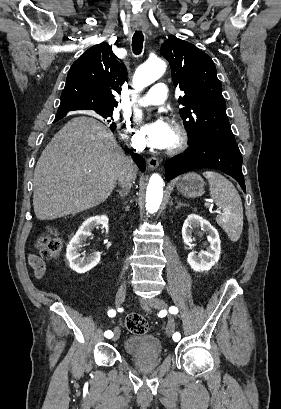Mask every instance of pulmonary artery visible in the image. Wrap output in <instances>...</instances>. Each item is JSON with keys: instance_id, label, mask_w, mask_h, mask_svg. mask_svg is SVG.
Returning a JSON list of instances; mask_svg holds the SVG:
<instances>
[{"instance_id": "obj_1", "label": "pulmonary artery", "mask_w": 281, "mask_h": 409, "mask_svg": "<svg viewBox=\"0 0 281 409\" xmlns=\"http://www.w3.org/2000/svg\"><path fill=\"white\" fill-rule=\"evenodd\" d=\"M166 83L165 81H154L153 87L151 89L152 94L147 95V100L141 102V106H160L162 104L163 99H167L169 97V92L165 90Z\"/></svg>"}]
</instances>
